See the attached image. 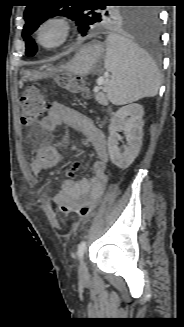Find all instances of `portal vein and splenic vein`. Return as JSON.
Returning a JSON list of instances; mask_svg holds the SVG:
<instances>
[{"label": "portal vein and splenic vein", "instance_id": "portal-vein-and-splenic-vein-1", "mask_svg": "<svg viewBox=\"0 0 184 327\" xmlns=\"http://www.w3.org/2000/svg\"><path fill=\"white\" fill-rule=\"evenodd\" d=\"M107 81L106 77L102 76L97 79V86L94 87V92H98L103 84Z\"/></svg>", "mask_w": 184, "mask_h": 327}]
</instances>
